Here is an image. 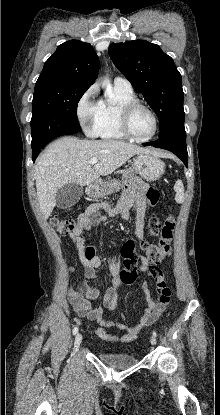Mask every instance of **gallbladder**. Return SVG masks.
Wrapping results in <instances>:
<instances>
[{
    "label": "gallbladder",
    "instance_id": "obj_1",
    "mask_svg": "<svg viewBox=\"0 0 220 415\" xmlns=\"http://www.w3.org/2000/svg\"><path fill=\"white\" fill-rule=\"evenodd\" d=\"M82 195V186L75 183L66 184L57 191L56 206L58 208L69 209L80 200Z\"/></svg>",
    "mask_w": 220,
    "mask_h": 415
}]
</instances>
